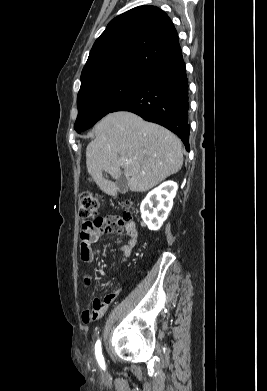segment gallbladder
Here are the masks:
<instances>
[{"label":"gallbladder","mask_w":267,"mask_h":391,"mask_svg":"<svg viewBox=\"0 0 267 391\" xmlns=\"http://www.w3.org/2000/svg\"><path fill=\"white\" fill-rule=\"evenodd\" d=\"M116 187L119 193L125 194L128 192V182L124 174H121L116 181Z\"/></svg>","instance_id":"gallbladder-1"}]
</instances>
